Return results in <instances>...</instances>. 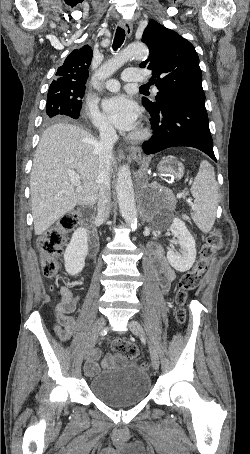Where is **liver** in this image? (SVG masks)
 <instances>
[{
	"label": "liver",
	"instance_id": "obj_1",
	"mask_svg": "<svg viewBox=\"0 0 250 454\" xmlns=\"http://www.w3.org/2000/svg\"><path fill=\"white\" fill-rule=\"evenodd\" d=\"M115 165L112 157L111 172ZM99 142L89 132L57 123L42 134L30 177L31 209L35 235H41L76 206L98 200ZM78 175L77 191L71 175Z\"/></svg>",
	"mask_w": 250,
	"mask_h": 454
}]
</instances>
